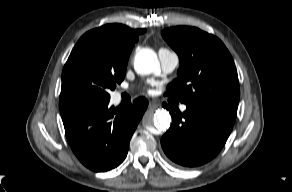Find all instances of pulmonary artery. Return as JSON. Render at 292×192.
Wrapping results in <instances>:
<instances>
[{
	"label": "pulmonary artery",
	"mask_w": 292,
	"mask_h": 192,
	"mask_svg": "<svg viewBox=\"0 0 292 192\" xmlns=\"http://www.w3.org/2000/svg\"><path fill=\"white\" fill-rule=\"evenodd\" d=\"M159 60L162 66V70L165 73H171L175 70L179 63L178 55L169 49L161 48L158 51ZM187 109L186 105H181L180 110L185 111Z\"/></svg>",
	"instance_id": "obj_1"
}]
</instances>
